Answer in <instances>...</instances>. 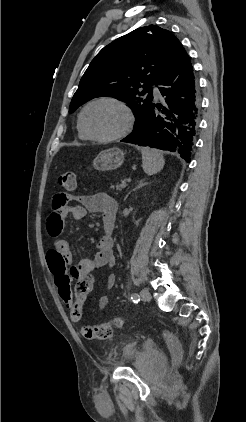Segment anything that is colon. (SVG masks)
Returning a JSON list of instances; mask_svg holds the SVG:
<instances>
[{
	"label": "colon",
	"instance_id": "obj_1",
	"mask_svg": "<svg viewBox=\"0 0 246 422\" xmlns=\"http://www.w3.org/2000/svg\"><path fill=\"white\" fill-rule=\"evenodd\" d=\"M58 184L67 191H72L76 187V177L74 172H63L58 177ZM47 263L54 276L55 284L61 300L69 309L70 319L73 323L81 324L83 305L90 294L94 277L92 274H84L76 278L74 290L71 289L72 270L64 256L55 249L47 253ZM123 321L115 319L113 322L102 323L89 326L81 325V333L87 339L108 340L112 337L113 328L121 327ZM163 338L172 354L175 357L181 355V347L177 337L170 331H163Z\"/></svg>",
	"mask_w": 246,
	"mask_h": 422
}]
</instances>
